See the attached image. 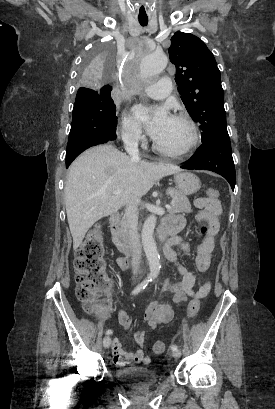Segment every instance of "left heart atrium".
<instances>
[{
	"instance_id": "1",
	"label": "left heart atrium",
	"mask_w": 275,
	"mask_h": 409,
	"mask_svg": "<svg viewBox=\"0 0 275 409\" xmlns=\"http://www.w3.org/2000/svg\"><path fill=\"white\" fill-rule=\"evenodd\" d=\"M138 116L144 118L146 115V111L143 108L138 107L136 109ZM168 119L166 111L164 108H159L156 110L154 117L147 122L148 132L153 136L157 131L161 128V126L165 123Z\"/></svg>"
}]
</instances>
